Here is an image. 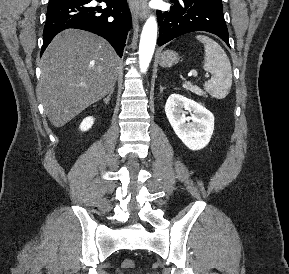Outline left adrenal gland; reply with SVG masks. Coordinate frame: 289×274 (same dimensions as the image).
Segmentation results:
<instances>
[{"label": "left adrenal gland", "instance_id": "a2214340", "mask_svg": "<svg viewBox=\"0 0 289 274\" xmlns=\"http://www.w3.org/2000/svg\"><path fill=\"white\" fill-rule=\"evenodd\" d=\"M164 89L165 88L160 85V93H162Z\"/></svg>", "mask_w": 289, "mask_h": 274}]
</instances>
